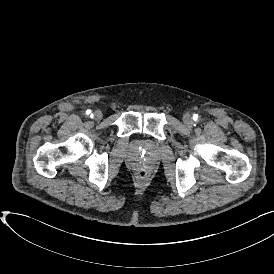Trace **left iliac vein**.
<instances>
[{"instance_id": "obj_1", "label": "left iliac vein", "mask_w": 274, "mask_h": 274, "mask_svg": "<svg viewBox=\"0 0 274 274\" xmlns=\"http://www.w3.org/2000/svg\"><path fill=\"white\" fill-rule=\"evenodd\" d=\"M183 122L187 125V126H191L193 124V118L190 114H184L183 116Z\"/></svg>"}]
</instances>
